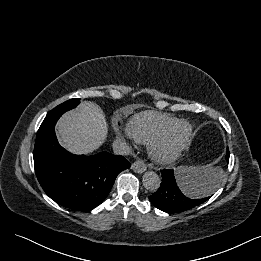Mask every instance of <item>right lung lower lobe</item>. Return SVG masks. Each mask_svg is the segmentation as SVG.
Masks as SVG:
<instances>
[{
  "instance_id": "98d812e1",
  "label": "right lung lower lobe",
  "mask_w": 261,
  "mask_h": 261,
  "mask_svg": "<svg viewBox=\"0 0 261 261\" xmlns=\"http://www.w3.org/2000/svg\"><path fill=\"white\" fill-rule=\"evenodd\" d=\"M60 116H46L37 132L33 155L36 176L57 203L90 211L107 197L117 175L131 165L123 156L108 152L85 156L66 151L55 135Z\"/></svg>"
}]
</instances>
